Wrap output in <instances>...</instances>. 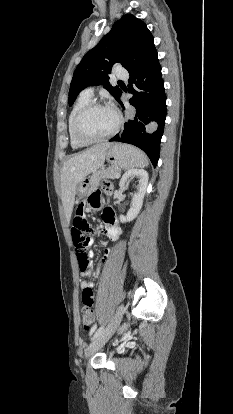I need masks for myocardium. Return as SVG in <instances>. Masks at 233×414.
Returning a JSON list of instances; mask_svg holds the SVG:
<instances>
[{
	"mask_svg": "<svg viewBox=\"0 0 233 414\" xmlns=\"http://www.w3.org/2000/svg\"><path fill=\"white\" fill-rule=\"evenodd\" d=\"M95 108H110L114 111L115 115H116V124L114 126V128L107 134L100 136V137H89L86 136L84 134H82V132L80 131V123L82 118L92 109ZM122 125V116L121 114L114 109L113 107L98 102V101H90L89 103H87L85 106H83L81 108V110L77 113L74 122H73V134L74 137L82 142V143H86V144H91V143H98V142H102V141H106L112 137H114L120 130Z\"/></svg>",
	"mask_w": 233,
	"mask_h": 414,
	"instance_id": "myocardium-1",
	"label": "myocardium"
}]
</instances>
